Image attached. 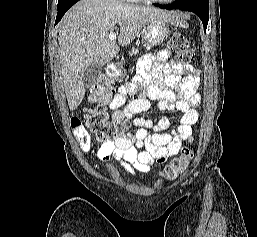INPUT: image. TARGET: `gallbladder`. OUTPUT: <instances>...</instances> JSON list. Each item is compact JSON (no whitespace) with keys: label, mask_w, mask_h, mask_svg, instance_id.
Returning a JSON list of instances; mask_svg holds the SVG:
<instances>
[{"label":"gallbladder","mask_w":257,"mask_h":237,"mask_svg":"<svg viewBox=\"0 0 257 237\" xmlns=\"http://www.w3.org/2000/svg\"><path fill=\"white\" fill-rule=\"evenodd\" d=\"M101 74V66L98 64H91L83 74V84L86 88L93 86Z\"/></svg>","instance_id":"1"}]
</instances>
